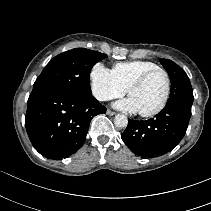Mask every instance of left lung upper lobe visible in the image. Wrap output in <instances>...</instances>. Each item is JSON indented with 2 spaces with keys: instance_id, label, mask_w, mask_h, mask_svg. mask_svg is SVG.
<instances>
[{
  "instance_id": "5c2ea615",
  "label": "left lung upper lobe",
  "mask_w": 211,
  "mask_h": 211,
  "mask_svg": "<svg viewBox=\"0 0 211 211\" xmlns=\"http://www.w3.org/2000/svg\"><path fill=\"white\" fill-rule=\"evenodd\" d=\"M160 63L168 72L171 80V94L168 102L182 101L193 103V90L187 74L171 60L161 59Z\"/></svg>"
}]
</instances>
